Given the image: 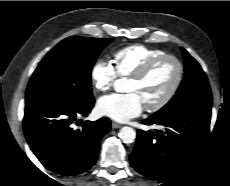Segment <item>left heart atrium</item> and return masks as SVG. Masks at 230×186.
Listing matches in <instances>:
<instances>
[{
  "label": "left heart atrium",
  "mask_w": 230,
  "mask_h": 186,
  "mask_svg": "<svg viewBox=\"0 0 230 186\" xmlns=\"http://www.w3.org/2000/svg\"><path fill=\"white\" fill-rule=\"evenodd\" d=\"M144 105L135 93L111 94L100 98L97 111L118 122H126L143 111Z\"/></svg>",
  "instance_id": "39dd6f15"
}]
</instances>
